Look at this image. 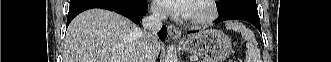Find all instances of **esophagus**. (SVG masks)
Returning a JSON list of instances; mask_svg holds the SVG:
<instances>
[{
	"instance_id": "1",
	"label": "esophagus",
	"mask_w": 331,
	"mask_h": 62,
	"mask_svg": "<svg viewBox=\"0 0 331 62\" xmlns=\"http://www.w3.org/2000/svg\"><path fill=\"white\" fill-rule=\"evenodd\" d=\"M168 34L174 40H179L181 37V31L174 25H168Z\"/></svg>"
}]
</instances>
